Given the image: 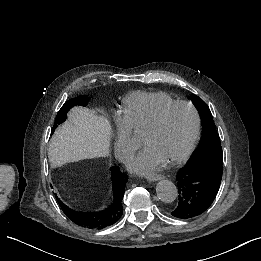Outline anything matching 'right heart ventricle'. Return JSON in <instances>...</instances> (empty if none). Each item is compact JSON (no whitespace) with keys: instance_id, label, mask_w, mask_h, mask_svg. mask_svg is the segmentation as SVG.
Masks as SVG:
<instances>
[{"instance_id":"e07e8e85","label":"right heart ventricle","mask_w":261,"mask_h":261,"mask_svg":"<svg viewBox=\"0 0 261 261\" xmlns=\"http://www.w3.org/2000/svg\"><path fill=\"white\" fill-rule=\"evenodd\" d=\"M171 101L175 98L166 91H136L122 98L120 112L124 118L138 121ZM131 149L132 145L128 151Z\"/></svg>"}]
</instances>
